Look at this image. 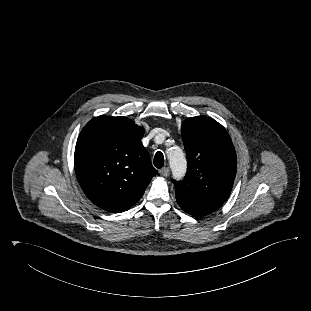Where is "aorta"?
Listing matches in <instances>:
<instances>
[{"mask_svg":"<svg viewBox=\"0 0 311 311\" xmlns=\"http://www.w3.org/2000/svg\"><path fill=\"white\" fill-rule=\"evenodd\" d=\"M167 153L173 177L179 180L186 173V159L184 153L179 147H174Z\"/></svg>","mask_w":311,"mask_h":311,"instance_id":"762f6f07","label":"aorta"}]
</instances>
